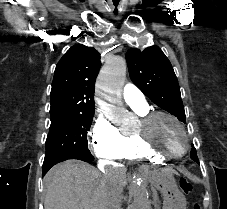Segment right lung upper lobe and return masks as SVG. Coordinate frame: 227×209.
Wrapping results in <instances>:
<instances>
[{
	"label": "right lung upper lobe",
	"mask_w": 227,
	"mask_h": 209,
	"mask_svg": "<svg viewBox=\"0 0 227 209\" xmlns=\"http://www.w3.org/2000/svg\"><path fill=\"white\" fill-rule=\"evenodd\" d=\"M100 65V54L94 48L82 44L72 46L56 66L52 82L50 111L57 107L59 101L65 99L93 102L95 80ZM90 107L92 105L85 108Z\"/></svg>",
	"instance_id": "right-lung-upper-lobe-1"
}]
</instances>
